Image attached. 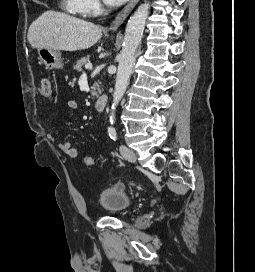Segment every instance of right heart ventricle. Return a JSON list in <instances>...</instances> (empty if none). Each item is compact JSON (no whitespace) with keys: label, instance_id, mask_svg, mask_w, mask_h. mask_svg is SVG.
I'll list each match as a JSON object with an SVG mask.
<instances>
[{"label":"right heart ventricle","instance_id":"right-heart-ventricle-1","mask_svg":"<svg viewBox=\"0 0 255 272\" xmlns=\"http://www.w3.org/2000/svg\"><path fill=\"white\" fill-rule=\"evenodd\" d=\"M61 6L64 10L71 14L81 13L78 0H61Z\"/></svg>","mask_w":255,"mask_h":272}]
</instances>
